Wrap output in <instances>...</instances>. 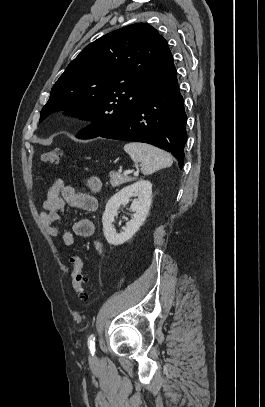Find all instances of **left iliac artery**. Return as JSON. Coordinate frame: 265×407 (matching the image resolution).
<instances>
[{"label": "left iliac artery", "instance_id": "1", "mask_svg": "<svg viewBox=\"0 0 265 407\" xmlns=\"http://www.w3.org/2000/svg\"><path fill=\"white\" fill-rule=\"evenodd\" d=\"M88 346L90 349L91 354L93 355L95 352V336L94 334H91L88 338Z\"/></svg>", "mask_w": 265, "mask_h": 407}]
</instances>
